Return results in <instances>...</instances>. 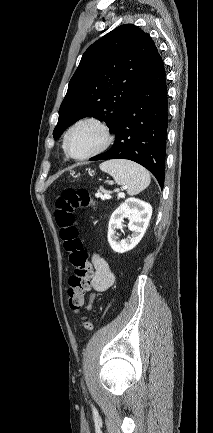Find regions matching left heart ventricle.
I'll return each instance as SVG.
<instances>
[{"instance_id":"b2bd125f","label":"left heart ventricle","mask_w":213,"mask_h":433,"mask_svg":"<svg viewBox=\"0 0 213 433\" xmlns=\"http://www.w3.org/2000/svg\"><path fill=\"white\" fill-rule=\"evenodd\" d=\"M103 141L102 131L92 124L77 127L69 137V149L74 156H84L96 148Z\"/></svg>"}]
</instances>
